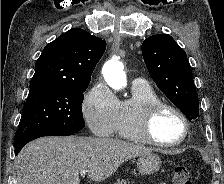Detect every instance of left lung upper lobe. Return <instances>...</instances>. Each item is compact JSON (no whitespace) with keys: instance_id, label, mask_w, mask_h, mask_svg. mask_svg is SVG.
I'll return each instance as SVG.
<instances>
[{"instance_id":"left-lung-upper-lobe-1","label":"left lung upper lobe","mask_w":224,"mask_h":184,"mask_svg":"<svg viewBox=\"0 0 224 184\" xmlns=\"http://www.w3.org/2000/svg\"><path fill=\"white\" fill-rule=\"evenodd\" d=\"M142 54L158 88L189 120L196 119L198 96L185 51L171 36L157 34L144 40Z\"/></svg>"}]
</instances>
